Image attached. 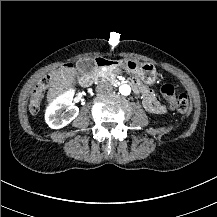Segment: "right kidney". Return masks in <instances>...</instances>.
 <instances>
[{
  "mask_svg": "<svg viewBox=\"0 0 217 217\" xmlns=\"http://www.w3.org/2000/svg\"><path fill=\"white\" fill-rule=\"evenodd\" d=\"M72 94L59 97L47 110L46 121L52 129H61L79 114V108L72 104Z\"/></svg>",
  "mask_w": 217,
  "mask_h": 217,
  "instance_id": "1",
  "label": "right kidney"
}]
</instances>
